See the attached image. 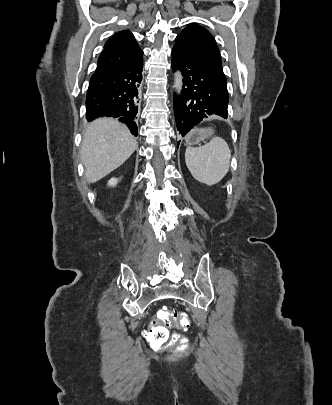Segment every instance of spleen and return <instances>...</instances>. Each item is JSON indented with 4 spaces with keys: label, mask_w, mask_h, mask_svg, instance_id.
Segmentation results:
<instances>
[{
    "label": "spleen",
    "mask_w": 332,
    "mask_h": 405,
    "mask_svg": "<svg viewBox=\"0 0 332 405\" xmlns=\"http://www.w3.org/2000/svg\"><path fill=\"white\" fill-rule=\"evenodd\" d=\"M231 150L227 142L214 137L204 146H189L185 152V162L191 175L207 185L219 183L228 173Z\"/></svg>",
    "instance_id": "3e777b00"
}]
</instances>
